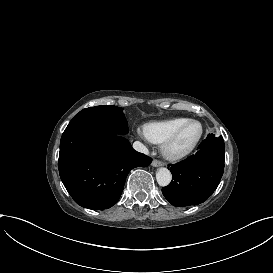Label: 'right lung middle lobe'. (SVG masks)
Returning a JSON list of instances; mask_svg holds the SVG:
<instances>
[{
  "mask_svg": "<svg viewBox=\"0 0 273 273\" xmlns=\"http://www.w3.org/2000/svg\"><path fill=\"white\" fill-rule=\"evenodd\" d=\"M122 110L120 107L106 105L89 107L76 114L67 128L91 125L124 135L128 133V124Z\"/></svg>",
  "mask_w": 273,
  "mask_h": 273,
  "instance_id": "1",
  "label": "right lung middle lobe"
}]
</instances>
